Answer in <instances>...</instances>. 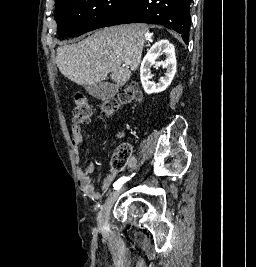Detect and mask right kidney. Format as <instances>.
Here are the masks:
<instances>
[{"label":"right kidney","instance_id":"obj_1","mask_svg":"<svg viewBox=\"0 0 256 267\" xmlns=\"http://www.w3.org/2000/svg\"><path fill=\"white\" fill-rule=\"evenodd\" d=\"M160 54H165L166 58L164 62H155ZM158 64L166 68V74L160 78L158 84L150 82L151 66ZM176 74V56L175 48L173 44H170L168 40H160L153 44L152 48L148 50L143 62L140 66V80L146 94H158V92H164L168 86H170L174 76Z\"/></svg>","mask_w":256,"mask_h":267}]
</instances>
